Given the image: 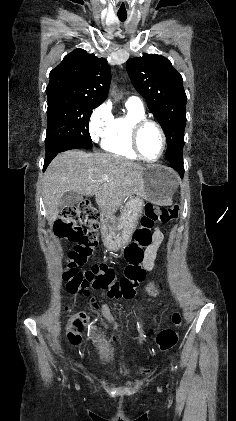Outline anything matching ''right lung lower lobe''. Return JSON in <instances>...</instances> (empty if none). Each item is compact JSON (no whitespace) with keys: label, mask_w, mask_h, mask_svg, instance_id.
I'll list each match as a JSON object with an SVG mask.
<instances>
[{"label":"right lung lower lobe","mask_w":236,"mask_h":421,"mask_svg":"<svg viewBox=\"0 0 236 421\" xmlns=\"http://www.w3.org/2000/svg\"><path fill=\"white\" fill-rule=\"evenodd\" d=\"M79 148L80 147L78 145L71 144V143H65V144L56 146L50 152H46V157H45V161H44V171L47 168V166L49 165V163L52 161V159L58 153L63 152V151H67V150H71V149H79Z\"/></svg>","instance_id":"98d812e1"}]
</instances>
